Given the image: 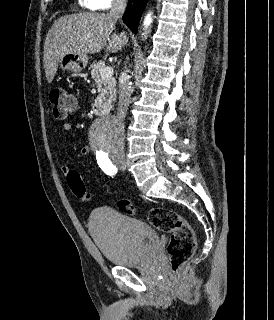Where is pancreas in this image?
Wrapping results in <instances>:
<instances>
[{"mask_svg": "<svg viewBox=\"0 0 274 320\" xmlns=\"http://www.w3.org/2000/svg\"><path fill=\"white\" fill-rule=\"evenodd\" d=\"M103 62H94L91 66V76L93 80H95L98 88V92L100 94H104L101 104V110L104 112H109L113 106H111L112 102L116 100V80L115 78H101L100 70H103Z\"/></svg>", "mask_w": 274, "mask_h": 320, "instance_id": "pancreas-1", "label": "pancreas"}]
</instances>
